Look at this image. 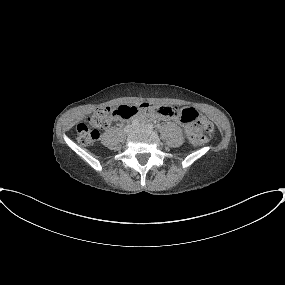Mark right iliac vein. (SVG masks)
Listing matches in <instances>:
<instances>
[{"label": "right iliac vein", "mask_w": 285, "mask_h": 285, "mask_svg": "<svg viewBox=\"0 0 285 285\" xmlns=\"http://www.w3.org/2000/svg\"><path fill=\"white\" fill-rule=\"evenodd\" d=\"M132 129H133L132 126H127V127L124 128V132L126 134H129L132 131Z\"/></svg>", "instance_id": "right-iliac-vein-1"}]
</instances>
